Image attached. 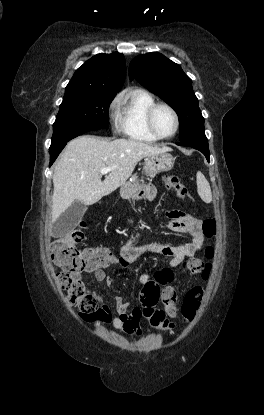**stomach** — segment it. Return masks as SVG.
Returning a JSON list of instances; mask_svg holds the SVG:
<instances>
[{"label":"stomach","instance_id":"obj_1","mask_svg":"<svg viewBox=\"0 0 264 415\" xmlns=\"http://www.w3.org/2000/svg\"><path fill=\"white\" fill-rule=\"evenodd\" d=\"M174 160V157L168 152L148 156L144 159L143 171L146 176L154 177L158 173L171 170ZM142 181L137 176H134L132 181L123 184L120 188L121 197L123 199H135L138 197L143 188Z\"/></svg>","mask_w":264,"mask_h":415}]
</instances>
